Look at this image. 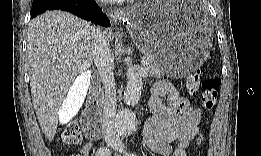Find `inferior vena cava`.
<instances>
[{
	"instance_id": "inferior-vena-cava-1",
	"label": "inferior vena cava",
	"mask_w": 261,
	"mask_h": 156,
	"mask_svg": "<svg viewBox=\"0 0 261 156\" xmlns=\"http://www.w3.org/2000/svg\"><path fill=\"white\" fill-rule=\"evenodd\" d=\"M92 54L105 89L102 129L108 145L119 144L120 139L114 127L117 108L116 85L112 71L113 58L108 38L104 31L97 28L93 34Z\"/></svg>"
}]
</instances>
